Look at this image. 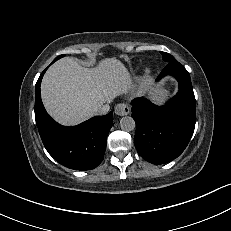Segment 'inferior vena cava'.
<instances>
[{"instance_id":"obj_1","label":"inferior vena cava","mask_w":231,"mask_h":231,"mask_svg":"<svg viewBox=\"0 0 231 231\" xmlns=\"http://www.w3.org/2000/svg\"><path fill=\"white\" fill-rule=\"evenodd\" d=\"M110 107L108 105L96 106L93 108V113L95 115H105L108 113Z\"/></svg>"}]
</instances>
